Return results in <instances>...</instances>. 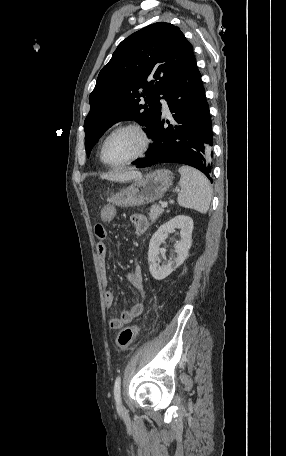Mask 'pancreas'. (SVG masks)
Instances as JSON below:
<instances>
[{
	"label": "pancreas",
	"instance_id": "pancreas-1",
	"mask_svg": "<svg viewBox=\"0 0 286 456\" xmlns=\"http://www.w3.org/2000/svg\"><path fill=\"white\" fill-rule=\"evenodd\" d=\"M164 212V208L159 205H153L150 209L149 219L154 222Z\"/></svg>",
	"mask_w": 286,
	"mask_h": 456
}]
</instances>
